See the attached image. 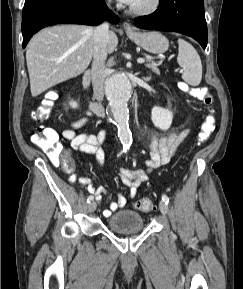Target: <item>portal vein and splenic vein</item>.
<instances>
[{
    "instance_id": "18ae733b",
    "label": "portal vein and splenic vein",
    "mask_w": 243,
    "mask_h": 289,
    "mask_svg": "<svg viewBox=\"0 0 243 289\" xmlns=\"http://www.w3.org/2000/svg\"><path fill=\"white\" fill-rule=\"evenodd\" d=\"M77 59H80V57H78ZM137 62L140 63V64H142V63L145 62V59L139 58V59L137 60Z\"/></svg>"
}]
</instances>
